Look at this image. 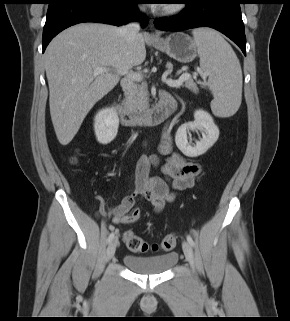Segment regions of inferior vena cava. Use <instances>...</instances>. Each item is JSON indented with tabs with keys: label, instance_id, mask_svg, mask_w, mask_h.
<instances>
[{
	"label": "inferior vena cava",
	"instance_id": "1",
	"mask_svg": "<svg viewBox=\"0 0 290 321\" xmlns=\"http://www.w3.org/2000/svg\"><path fill=\"white\" fill-rule=\"evenodd\" d=\"M140 29V25L137 22H131L120 28V34L128 41L131 42L135 39Z\"/></svg>",
	"mask_w": 290,
	"mask_h": 321
}]
</instances>
